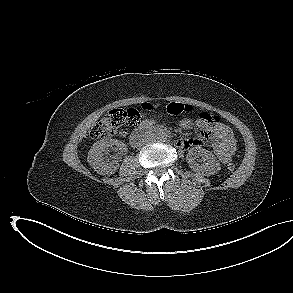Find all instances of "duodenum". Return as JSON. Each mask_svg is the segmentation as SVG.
Here are the masks:
<instances>
[{
    "label": "duodenum",
    "mask_w": 293,
    "mask_h": 293,
    "mask_svg": "<svg viewBox=\"0 0 293 293\" xmlns=\"http://www.w3.org/2000/svg\"><path fill=\"white\" fill-rule=\"evenodd\" d=\"M168 134L169 132L163 128H154L143 124L131 134L130 143L133 146H139L145 138L151 135L166 136Z\"/></svg>",
    "instance_id": "duodenum-1"
}]
</instances>
